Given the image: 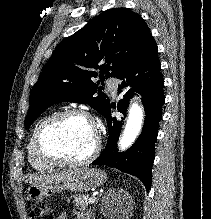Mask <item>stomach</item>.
Segmentation results:
<instances>
[{
  "instance_id": "obj_1",
  "label": "stomach",
  "mask_w": 211,
  "mask_h": 219,
  "mask_svg": "<svg viewBox=\"0 0 211 219\" xmlns=\"http://www.w3.org/2000/svg\"><path fill=\"white\" fill-rule=\"evenodd\" d=\"M106 181L104 172L94 168H82L70 180L55 184H31L27 190L28 197L36 202H42L44 198L64 190L84 192L103 185Z\"/></svg>"
}]
</instances>
